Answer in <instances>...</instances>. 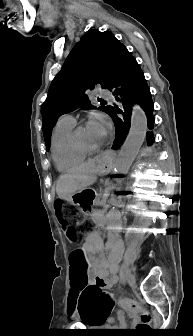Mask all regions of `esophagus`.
<instances>
[{
	"mask_svg": "<svg viewBox=\"0 0 193 336\" xmlns=\"http://www.w3.org/2000/svg\"><path fill=\"white\" fill-rule=\"evenodd\" d=\"M111 153H112V151L107 150V151H105V152L103 153V155H108V154H111Z\"/></svg>",
	"mask_w": 193,
	"mask_h": 336,
	"instance_id": "obj_1",
	"label": "esophagus"
}]
</instances>
